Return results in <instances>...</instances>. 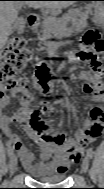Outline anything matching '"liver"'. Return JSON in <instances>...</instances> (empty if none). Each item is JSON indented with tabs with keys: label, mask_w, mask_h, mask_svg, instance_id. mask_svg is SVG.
Here are the masks:
<instances>
[{
	"label": "liver",
	"mask_w": 104,
	"mask_h": 189,
	"mask_svg": "<svg viewBox=\"0 0 104 189\" xmlns=\"http://www.w3.org/2000/svg\"><path fill=\"white\" fill-rule=\"evenodd\" d=\"M72 1H28L27 5L35 9L49 7L52 9L67 8ZM14 1H1L0 3V45L3 47L12 33V25L16 22L18 11Z\"/></svg>",
	"instance_id": "liver-1"
}]
</instances>
